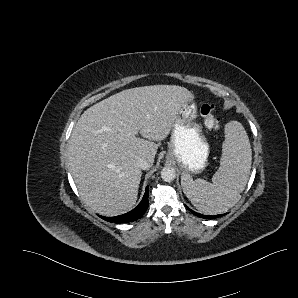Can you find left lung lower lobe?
I'll return each instance as SVG.
<instances>
[{
    "instance_id": "left-lung-lower-lobe-1",
    "label": "left lung lower lobe",
    "mask_w": 298,
    "mask_h": 298,
    "mask_svg": "<svg viewBox=\"0 0 298 298\" xmlns=\"http://www.w3.org/2000/svg\"><path fill=\"white\" fill-rule=\"evenodd\" d=\"M187 209L190 210L194 215L199 216L201 218L214 219V218H217V217H221L222 216V215L207 216V215H202V214L196 213V212L192 211L191 209H189L188 207H187Z\"/></svg>"
}]
</instances>
